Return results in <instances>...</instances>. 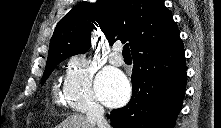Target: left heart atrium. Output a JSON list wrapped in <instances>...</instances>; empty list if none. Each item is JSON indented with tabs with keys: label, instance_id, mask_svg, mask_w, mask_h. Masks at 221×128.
Listing matches in <instances>:
<instances>
[{
	"label": "left heart atrium",
	"instance_id": "1",
	"mask_svg": "<svg viewBox=\"0 0 221 128\" xmlns=\"http://www.w3.org/2000/svg\"><path fill=\"white\" fill-rule=\"evenodd\" d=\"M96 90L103 103L110 106L121 105L130 94V86L126 78L113 69L104 70L99 74Z\"/></svg>",
	"mask_w": 221,
	"mask_h": 128
}]
</instances>
